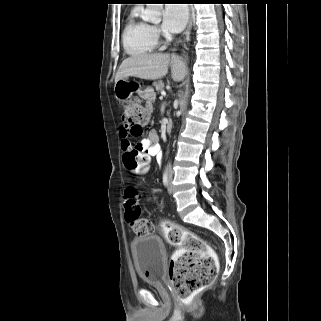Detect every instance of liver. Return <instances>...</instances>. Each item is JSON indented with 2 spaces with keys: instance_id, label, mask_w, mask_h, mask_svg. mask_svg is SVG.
I'll return each mask as SVG.
<instances>
[{
  "instance_id": "obj_1",
  "label": "liver",
  "mask_w": 321,
  "mask_h": 321,
  "mask_svg": "<svg viewBox=\"0 0 321 321\" xmlns=\"http://www.w3.org/2000/svg\"><path fill=\"white\" fill-rule=\"evenodd\" d=\"M169 66L172 79L182 81L186 75V64L181 57L168 53L142 54L125 59L116 73L115 81L129 76L157 80L168 73Z\"/></svg>"
}]
</instances>
